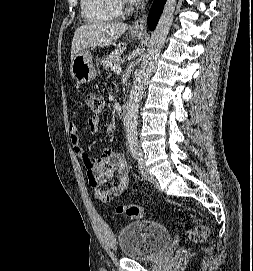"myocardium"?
Listing matches in <instances>:
<instances>
[{"label":"myocardium","instance_id":"myocardium-1","mask_svg":"<svg viewBox=\"0 0 253 271\" xmlns=\"http://www.w3.org/2000/svg\"><path fill=\"white\" fill-rule=\"evenodd\" d=\"M122 8H124L126 11H132L134 9V2L132 0H119Z\"/></svg>","mask_w":253,"mask_h":271}]
</instances>
